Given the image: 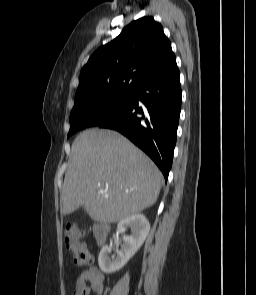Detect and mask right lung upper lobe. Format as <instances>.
<instances>
[{
  "instance_id": "1",
  "label": "right lung upper lobe",
  "mask_w": 256,
  "mask_h": 295,
  "mask_svg": "<svg viewBox=\"0 0 256 295\" xmlns=\"http://www.w3.org/2000/svg\"><path fill=\"white\" fill-rule=\"evenodd\" d=\"M173 56L170 41L153 17L133 21L89 58L80 73L75 101L135 92Z\"/></svg>"
}]
</instances>
